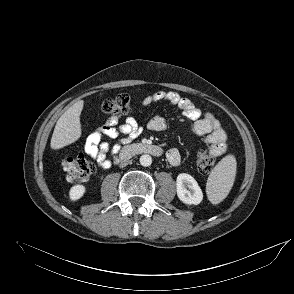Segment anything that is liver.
<instances>
[{
	"mask_svg": "<svg viewBox=\"0 0 294 294\" xmlns=\"http://www.w3.org/2000/svg\"><path fill=\"white\" fill-rule=\"evenodd\" d=\"M83 106V100L76 102L58 119L51 138L52 149H61L81 137L80 115Z\"/></svg>",
	"mask_w": 294,
	"mask_h": 294,
	"instance_id": "obj_1",
	"label": "liver"
}]
</instances>
